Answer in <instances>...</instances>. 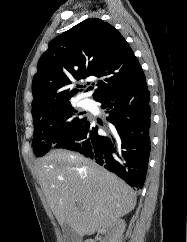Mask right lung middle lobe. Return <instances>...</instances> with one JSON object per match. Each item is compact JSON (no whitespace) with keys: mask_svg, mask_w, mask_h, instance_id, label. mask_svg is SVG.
<instances>
[{"mask_svg":"<svg viewBox=\"0 0 187 242\" xmlns=\"http://www.w3.org/2000/svg\"><path fill=\"white\" fill-rule=\"evenodd\" d=\"M71 103L33 116V150L38 157L45 155L55 144L71 136L87 118L76 116Z\"/></svg>","mask_w":187,"mask_h":242,"instance_id":"1","label":"right lung middle lobe"}]
</instances>
